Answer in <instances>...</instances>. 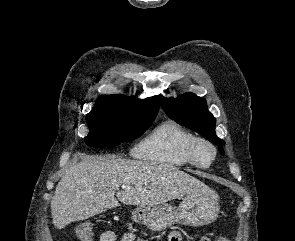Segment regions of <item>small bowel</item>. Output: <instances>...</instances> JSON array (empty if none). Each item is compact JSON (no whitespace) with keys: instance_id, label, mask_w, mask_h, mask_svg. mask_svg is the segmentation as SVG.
I'll return each instance as SVG.
<instances>
[{"instance_id":"c3829d8e","label":"small bowel","mask_w":295,"mask_h":241,"mask_svg":"<svg viewBox=\"0 0 295 241\" xmlns=\"http://www.w3.org/2000/svg\"><path fill=\"white\" fill-rule=\"evenodd\" d=\"M177 232H171L169 235V241H172L174 234ZM100 241H116V235L113 232H105L102 234ZM121 241H146L142 237L138 236L135 232H128L124 234ZM201 241H207L202 239Z\"/></svg>"}]
</instances>
